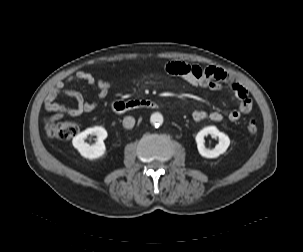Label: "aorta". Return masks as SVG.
<instances>
[{
  "instance_id": "aorta-1",
  "label": "aorta",
  "mask_w": 303,
  "mask_h": 252,
  "mask_svg": "<svg viewBox=\"0 0 303 252\" xmlns=\"http://www.w3.org/2000/svg\"><path fill=\"white\" fill-rule=\"evenodd\" d=\"M150 122L155 126H160L163 123V116L160 113H153Z\"/></svg>"
}]
</instances>
